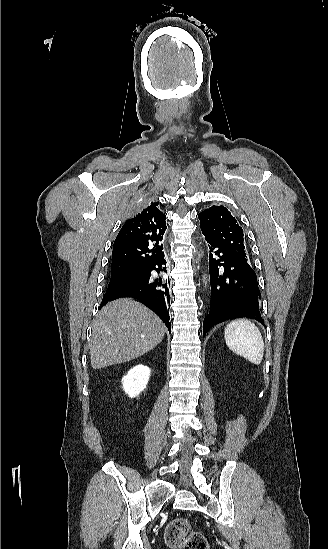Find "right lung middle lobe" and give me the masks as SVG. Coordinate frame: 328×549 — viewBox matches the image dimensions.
Returning a JSON list of instances; mask_svg holds the SVG:
<instances>
[{
    "mask_svg": "<svg viewBox=\"0 0 328 549\" xmlns=\"http://www.w3.org/2000/svg\"><path fill=\"white\" fill-rule=\"evenodd\" d=\"M143 274H144V271H136V272H128V273H123L118 275H111V280L109 282L108 289L132 280L140 279L143 277Z\"/></svg>",
    "mask_w": 328,
    "mask_h": 549,
    "instance_id": "dd1d6c3e",
    "label": "right lung middle lobe"
}]
</instances>
